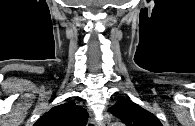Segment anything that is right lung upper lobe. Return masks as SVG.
<instances>
[{
    "mask_svg": "<svg viewBox=\"0 0 195 126\" xmlns=\"http://www.w3.org/2000/svg\"><path fill=\"white\" fill-rule=\"evenodd\" d=\"M88 114L75 102L55 106L46 112L34 126H85Z\"/></svg>",
    "mask_w": 195,
    "mask_h": 126,
    "instance_id": "obj_1",
    "label": "right lung upper lobe"
}]
</instances>
